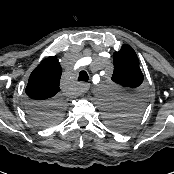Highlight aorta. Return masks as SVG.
<instances>
[{
	"mask_svg": "<svg viewBox=\"0 0 174 174\" xmlns=\"http://www.w3.org/2000/svg\"><path fill=\"white\" fill-rule=\"evenodd\" d=\"M98 91L100 99L104 103L108 104L112 99V93H113L112 87L108 85H101L99 86Z\"/></svg>",
	"mask_w": 174,
	"mask_h": 174,
	"instance_id": "obj_1",
	"label": "aorta"
}]
</instances>
